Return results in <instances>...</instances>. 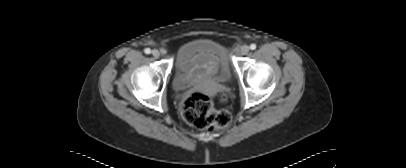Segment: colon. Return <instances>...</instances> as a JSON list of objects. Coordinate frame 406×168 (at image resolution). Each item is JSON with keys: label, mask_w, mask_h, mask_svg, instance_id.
<instances>
[{"label": "colon", "mask_w": 406, "mask_h": 168, "mask_svg": "<svg viewBox=\"0 0 406 168\" xmlns=\"http://www.w3.org/2000/svg\"><path fill=\"white\" fill-rule=\"evenodd\" d=\"M181 113L188 124L200 129L224 128L232 121L228 111L214 109L212 97L204 92L190 94L182 103Z\"/></svg>", "instance_id": "5ec220e1"}]
</instances>
